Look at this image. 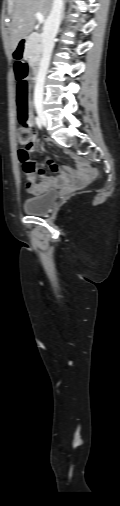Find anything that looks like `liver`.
Returning <instances> with one entry per match:
<instances>
[{
    "mask_svg": "<svg viewBox=\"0 0 120 506\" xmlns=\"http://www.w3.org/2000/svg\"><path fill=\"white\" fill-rule=\"evenodd\" d=\"M53 0H14L13 17L10 28V46L14 51L22 38L34 29L36 13L40 12L48 17Z\"/></svg>",
    "mask_w": 120,
    "mask_h": 506,
    "instance_id": "1",
    "label": "liver"
}]
</instances>
